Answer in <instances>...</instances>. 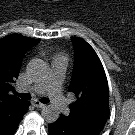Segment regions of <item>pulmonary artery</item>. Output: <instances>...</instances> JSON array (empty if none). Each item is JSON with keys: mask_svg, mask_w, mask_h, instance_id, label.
<instances>
[{"mask_svg": "<svg viewBox=\"0 0 135 135\" xmlns=\"http://www.w3.org/2000/svg\"><path fill=\"white\" fill-rule=\"evenodd\" d=\"M66 71V63L63 60L54 61L51 74L41 83L34 84L28 88L34 93H47L55 107L60 111H65L67 105L61 95L62 82Z\"/></svg>", "mask_w": 135, "mask_h": 135, "instance_id": "e3ab8cb5", "label": "pulmonary artery"}]
</instances>
